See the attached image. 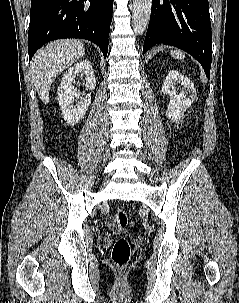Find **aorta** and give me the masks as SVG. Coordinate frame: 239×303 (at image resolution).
<instances>
[{
    "label": "aorta",
    "mask_w": 239,
    "mask_h": 303,
    "mask_svg": "<svg viewBox=\"0 0 239 303\" xmlns=\"http://www.w3.org/2000/svg\"><path fill=\"white\" fill-rule=\"evenodd\" d=\"M152 0H133L132 27L136 35H141L146 30L150 14Z\"/></svg>",
    "instance_id": "obj_1"
}]
</instances>
